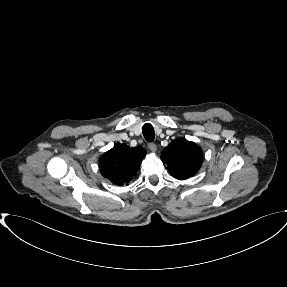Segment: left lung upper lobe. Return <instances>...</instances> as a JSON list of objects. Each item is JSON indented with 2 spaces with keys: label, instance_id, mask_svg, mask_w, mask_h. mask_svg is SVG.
<instances>
[{
  "label": "left lung upper lobe",
  "instance_id": "1",
  "mask_svg": "<svg viewBox=\"0 0 287 287\" xmlns=\"http://www.w3.org/2000/svg\"><path fill=\"white\" fill-rule=\"evenodd\" d=\"M161 160L167 164V168L174 178L184 180L199 170L203 153L196 143L178 139L163 150Z\"/></svg>",
  "mask_w": 287,
  "mask_h": 287
}]
</instances>
